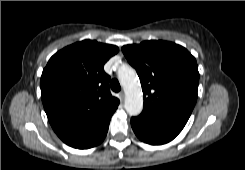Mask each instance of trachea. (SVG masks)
I'll return each instance as SVG.
<instances>
[{
	"label": "trachea",
	"instance_id": "1",
	"mask_svg": "<svg viewBox=\"0 0 245 170\" xmlns=\"http://www.w3.org/2000/svg\"><path fill=\"white\" fill-rule=\"evenodd\" d=\"M110 86H111V89L114 91V92H119L120 89H121V86L118 82L117 79H113L110 83Z\"/></svg>",
	"mask_w": 245,
	"mask_h": 170
}]
</instances>
